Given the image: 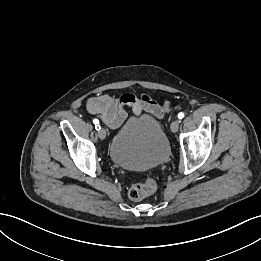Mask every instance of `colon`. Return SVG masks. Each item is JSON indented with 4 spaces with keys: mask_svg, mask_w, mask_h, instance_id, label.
Segmentation results:
<instances>
[{
    "mask_svg": "<svg viewBox=\"0 0 261 261\" xmlns=\"http://www.w3.org/2000/svg\"><path fill=\"white\" fill-rule=\"evenodd\" d=\"M157 184L155 179L149 174L143 183H137L131 186L128 195L133 201H140L149 196L156 190Z\"/></svg>",
    "mask_w": 261,
    "mask_h": 261,
    "instance_id": "1",
    "label": "colon"
}]
</instances>
